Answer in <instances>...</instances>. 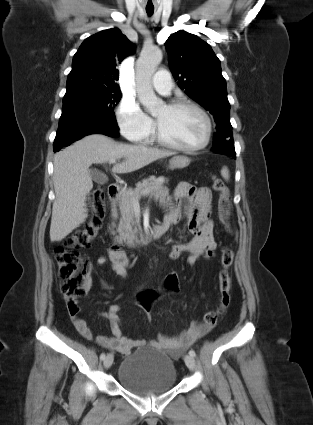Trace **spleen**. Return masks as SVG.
<instances>
[{
    "instance_id": "1",
    "label": "spleen",
    "mask_w": 313,
    "mask_h": 425,
    "mask_svg": "<svg viewBox=\"0 0 313 425\" xmlns=\"http://www.w3.org/2000/svg\"><path fill=\"white\" fill-rule=\"evenodd\" d=\"M221 175L225 180L229 179V170L226 166L221 169Z\"/></svg>"
}]
</instances>
